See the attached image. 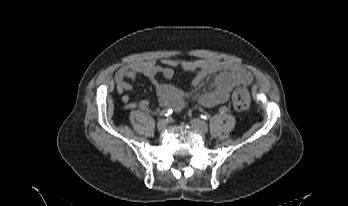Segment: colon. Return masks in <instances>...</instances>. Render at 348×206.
Segmentation results:
<instances>
[{
	"mask_svg": "<svg viewBox=\"0 0 348 206\" xmlns=\"http://www.w3.org/2000/svg\"><path fill=\"white\" fill-rule=\"evenodd\" d=\"M232 102L236 110L247 112L250 106V96L246 89L237 88L232 93Z\"/></svg>",
	"mask_w": 348,
	"mask_h": 206,
	"instance_id": "1",
	"label": "colon"
}]
</instances>
